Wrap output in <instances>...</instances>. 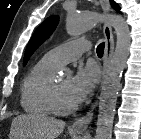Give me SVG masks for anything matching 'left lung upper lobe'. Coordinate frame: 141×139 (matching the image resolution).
I'll use <instances>...</instances> for the list:
<instances>
[{
  "label": "left lung upper lobe",
  "mask_w": 141,
  "mask_h": 139,
  "mask_svg": "<svg viewBox=\"0 0 141 139\" xmlns=\"http://www.w3.org/2000/svg\"><path fill=\"white\" fill-rule=\"evenodd\" d=\"M111 4L115 10L120 11L119 6L113 0H111ZM57 24L58 17L50 16L35 30L25 51L23 61L24 65H26L27 61L29 60L30 56L34 53V51L52 34Z\"/></svg>",
  "instance_id": "1"
}]
</instances>
